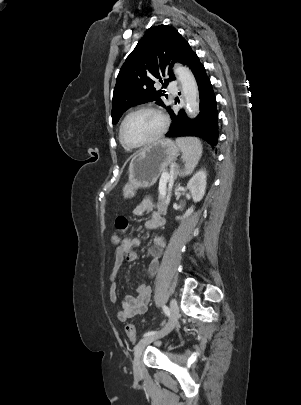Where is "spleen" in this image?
Segmentation results:
<instances>
[{
  "label": "spleen",
  "instance_id": "obj_1",
  "mask_svg": "<svg viewBox=\"0 0 301 405\" xmlns=\"http://www.w3.org/2000/svg\"><path fill=\"white\" fill-rule=\"evenodd\" d=\"M176 144L185 159V171L181 175H189L193 172L202 156V144L199 139L194 137L177 138Z\"/></svg>",
  "mask_w": 301,
  "mask_h": 405
}]
</instances>
